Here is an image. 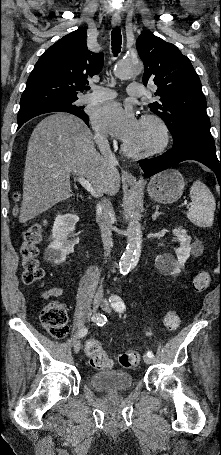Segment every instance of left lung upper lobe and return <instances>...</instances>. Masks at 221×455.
<instances>
[{
  "instance_id": "left-lung-upper-lobe-1",
  "label": "left lung upper lobe",
  "mask_w": 221,
  "mask_h": 455,
  "mask_svg": "<svg viewBox=\"0 0 221 455\" xmlns=\"http://www.w3.org/2000/svg\"><path fill=\"white\" fill-rule=\"evenodd\" d=\"M136 48L144 63L143 84L157 86L158 101L149 104L150 110L164 120L173 140L188 131L210 133L206 99L188 57L150 32L139 35Z\"/></svg>"
}]
</instances>
